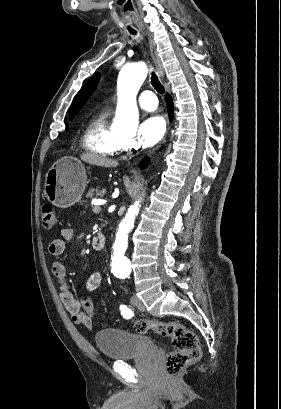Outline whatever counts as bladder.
Instances as JSON below:
<instances>
[{
    "label": "bladder",
    "mask_w": 281,
    "mask_h": 409,
    "mask_svg": "<svg viewBox=\"0 0 281 409\" xmlns=\"http://www.w3.org/2000/svg\"><path fill=\"white\" fill-rule=\"evenodd\" d=\"M97 351L108 361L126 362L133 355H157L158 344L146 333L106 327L93 335Z\"/></svg>",
    "instance_id": "1"
}]
</instances>
